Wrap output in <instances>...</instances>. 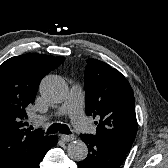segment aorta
I'll list each match as a JSON object with an SVG mask.
<instances>
[{"label":"aorta","instance_id":"obj_1","mask_svg":"<svg viewBox=\"0 0 168 168\" xmlns=\"http://www.w3.org/2000/svg\"><path fill=\"white\" fill-rule=\"evenodd\" d=\"M41 96L49 103H61L67 96L66 82L59 76L47 75L40 83ZM68 156L75 161H83L88 154L87 145L82 140H75L67 146Z\"/></svg>","mask_w":168,"mask_h":168}]
</instances>
